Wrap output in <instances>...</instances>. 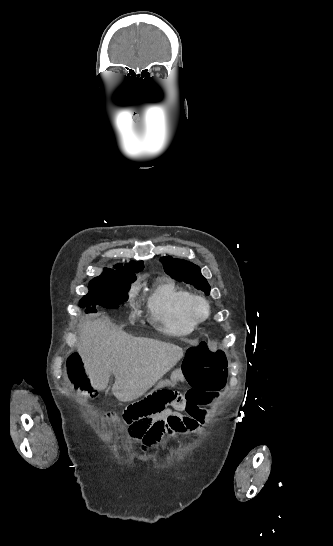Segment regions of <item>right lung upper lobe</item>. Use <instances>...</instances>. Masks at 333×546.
Listing matches in <instances>:
<instances>
[{"instance_id": "cb5924a9", "label": "right lung upper lobe", "mask_w": 333, "mask_h": 546, "mask_svg": "<svg viewBox=\"0 0 333 546\" xmlns=\"http://www.w3.org/2000/svg\"><path fill=\"white\" fill-rule=\"evenodd\" d=\"M123 268L124 267L121 264L116 266V269L119 271L126 272V273H136L138 271H141L144 268V265L142 261H139V262L131 261L128 264H126L125 270H122ZM105 270H112V269L105 268Z\"/></svg>"}]
</instances>
